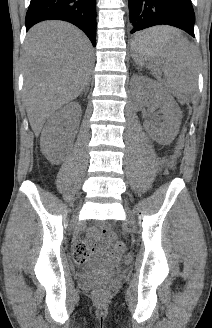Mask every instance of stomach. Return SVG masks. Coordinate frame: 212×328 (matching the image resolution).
<instances>
[{"label":"stomach","instance_id":"stomach-1","mask_svg":"<svg viewBox=\"0 0 212 328\" xmlns=\"http://www.w3.org/2000/svg\"><path fill=\"white\" fill-rule=\"evenodd\" d=\"M132 51H133V57H134L135 61L137 63H139L140 65H143V62L146 60H151L154 57L161 56L160 53L156 50L137 51L133 47Z\"/></svg>","mask_w":212,"mask_h":328}]
</instances>
